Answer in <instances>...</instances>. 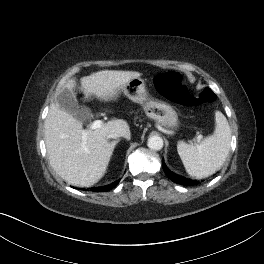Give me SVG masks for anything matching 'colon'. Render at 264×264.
Returning <instances> with one entry per match:
<instances>
[{"label":"colon","mask_w":264,"mask_h":264,"mask_svg":"<svg viewBox=\"0 0 264 264\" xmlns=\"http://www.w3.org/2000/svg\"><path fill=\"white\" fill-rule=\"evenodd\" d=\"M158 91L167 99L183 106H195L212 103L216 96L206 88L197 94H192L182 82V76L177 72L160 73L155 78Z\"/></svg>","instance_id":"obj_1"}]
</instances>
